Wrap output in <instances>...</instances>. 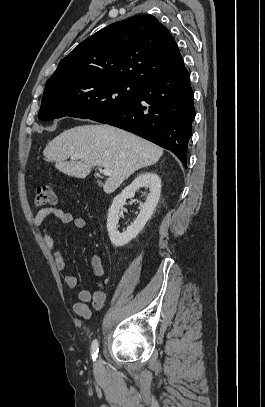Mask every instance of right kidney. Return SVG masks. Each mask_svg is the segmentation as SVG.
<instances>
[{
  "label": "right kidney",
  "instance_id": "1",
  "mask_svg": "<svg viewBox=\"0 0 265 407\" xmlns=\"http://www.w3.org/2000/svg\"><path fill=\"white\" fill-rule=\"evenodd\" d=\"M144 186L148 187L150 191L146 202L141 205V211L135 221L127 227L126 231L120 233L117 230L120 209L125 204L126 199L134 197L135 191ZM160 192L161 179L156 173L148 172L139 175L129 186L114 198L107 217V230L114 246L122 247L139 234L147 221L151 218L155 207L158 204Z\"/></svg>",
  "mask_w": 265,
  "mask_h": 407
}]
</instances>
